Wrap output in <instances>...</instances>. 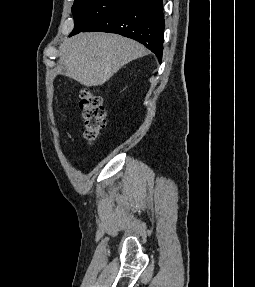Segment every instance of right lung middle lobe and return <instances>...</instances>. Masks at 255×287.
Masks as SVG:
<instances>
[{"mask_svg": "<svg viewBox=\"0 0 255 287\" xmlns=\"http://www.w3.org/2000/svg\"><path fill=\"white\" fill-rule=\"evenodd\" d=\"M128 2L130 0H74L72 13L75 26L70 36L85 30L108 13Z\"/></svg>", "mask_w": 255, "mask_h": 287, "instance_id": "right-lung-middle-lobe-1", "label": "right lung middle lobe"}]
</instances>
